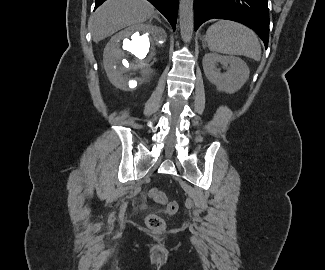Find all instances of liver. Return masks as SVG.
Returning <instances> with one entry per match:
<instances>
[{
  "mask_svg": "<svg viewBox=\"0 0 325 270\" xmlns=\"http://www.w3.org/2000/svg\"><path fill=\"white\" fill-rule=\"evenodd\" d=\"M154 13L146 0H107L91 18L93 41L97 43L125 27L141 24Z\"/></svg>",
  "mask_w": 325,
  "mask_h": 270,
  "instance_id": "obj_1",
  "label": "liver"
}]
</instances>
